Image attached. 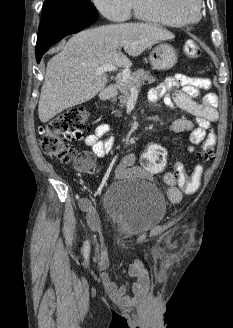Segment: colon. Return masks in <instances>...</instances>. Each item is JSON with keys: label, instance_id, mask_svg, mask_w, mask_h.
<instances>
[{"label": "colon", "instance_id": "5ec220e1", "mask_svg": "<svg viewBox=\"0 0 233 328\" xmlns=\"http://www.w3.org/2000/svg\"><path fill=\"white\" fill-rule=\"evenodd\" d=\"M184 52L187 57L196 58L200 55V47L196 42L188 41L184 45ZM89 118L90 113L87 109L73 108L41 125L39 143L44 153L61 162L73 163L79 168L86 166L91 160L90 153L76 151L71 142L83 136ZM215 141L214 134L207 135L198 154L200 163L192 169L190 174L187 173L183 164H174V175L184 193L192 194L199 189L203 167L214 159ZM141 164L149 173L162 171L166 164L165 149L158 144H149L144 149Z\"/></svg>", "mask_w": 233, "mask_h": 328}]
</instances>
